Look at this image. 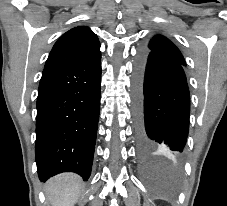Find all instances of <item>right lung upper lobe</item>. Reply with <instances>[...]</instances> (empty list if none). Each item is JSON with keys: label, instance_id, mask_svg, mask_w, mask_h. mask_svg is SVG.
Here are the masks:
<instances>
[{"label": "right lung upper lobe", "instance_id": "obj_1", "mask_svg": "<svg viewBox=\"0 0 227 206\" xmlns=\"http://www.w3.org/2000/svg\"><path fill=\"white\" fill-rule=\"evenodd\" d=\"M100 57V43L97 36L89 27H75L63 34L55 43L42 75L84 65Z\"/></svg>", "mask_w": 227, "mask_h": 206}]
</instances>
